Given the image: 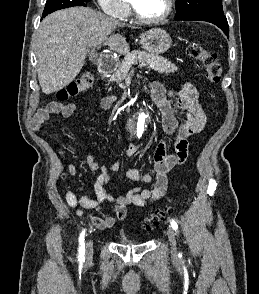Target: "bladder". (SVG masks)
Instances as JSON below:
<instances>
[{
  "instance_id": "obj_1",
  "label": "bladder",
  "mask_w": 259,
  "mask_h": 294,
  "mask_svg": "<svg viewBox=\"0 0 259 294\" xmlns=\"http://www.w3.org/2000/svg\"><path fill=\"white\" fill-rule=\"evenodd\" d=\"M119 242L121 244H123V245H136L137 244L136 242H133V241H130V240H127V239H120Z\"/></svg>"
}]
</instances>
